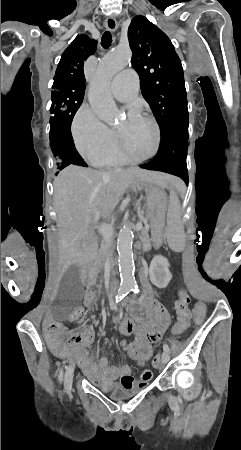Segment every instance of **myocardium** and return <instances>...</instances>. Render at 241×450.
<instances>
[{"instance_id":"1","label":"myocardium","mask_w":241,"mask_h":450,"mask_svg":"<svg viewBox=\"0 0 241 450\" xmlns=\"http://www.w3.org/2000/svg\"><path fill=\"white\" fill-rule=\"evenodd\" d=\"M152 127H158V122H152ZM125 134V131L123 129H120L117 132V141L119 143V149H122V152L119 153L120 157H125V158H131L128 156V152H127V148H125V141L126 138L125 136H123ZM161 135V130H155V137L152 140V145H154L155 148H152V152H151V157H155L156 156V149H160V144H158V142L161 141V138L159 137ZM137 162H147V160H136Z\"/></svg>"}]
</instances>
